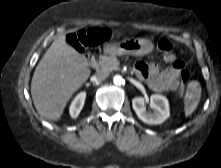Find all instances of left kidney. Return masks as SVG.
I'll use <instances>...</instances> for the list:
<instances>
[{"mask_svg": "<svg viewBox=\"0 0 221 168\" xmlns=\"http://www.w3.org/2000/svg\"><path fill=\"white\" fill-rule=\"evenodd\" d=\"M132 106L138 118L150 125L161 124L170 115L168 100L160 94H153L150 97V106L153 109V113L146 111L145 99L143 97L133 98Z\"/></svg>", "mask_w": 221, "mask_h": 168, "instance_id": "1", "label": "left kidney"}]
</instances>
